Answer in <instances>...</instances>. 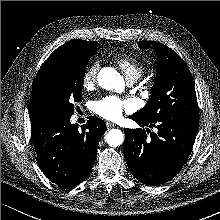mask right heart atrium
I'll return each instance as SVG.
<instances>
[{"label":"right heart atrium","mask_w":220,"mask_h":220,"mask_svg":"<svg viewBox=\"0 0 220 220\" xmlns=\"http://www.w3.org/2000/svg\"><path fill=\"white\" fill-rule=\"evenodd\" d=\"M99 62L93 61L84 71L82 76V86L84 89L92 88L97 80Z\"/></svg>","instance_id":"obj_1"}]
</instances>
